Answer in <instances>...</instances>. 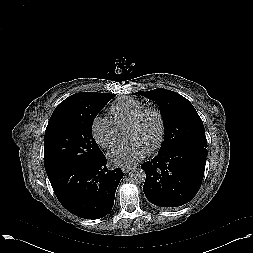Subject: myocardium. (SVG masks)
Here are the masks:
<instances>
[{"instance_id":"1","label":"myocardium","mask_w":253,"mask_h":253,"mask_svg":"<svg viewBox=\"0 0 253 253\" xmlns=\"http://www.w3.org/2000/svg\"><path fill=\"white\" fill-rule=\"evenodd\" d=\"M149 113L155 114L157 119H158V122H159L158 135H157L155 141L153 142V144H151L148 147L149 151H154L162 143L163 138H164V134H165V121H164V118H163V115H162L161 111L158 108H156V107H144L127 124V127H134V126L138 125L141 122V120L143 119V117L145 115L149 114Z\"/></svg>"}]
</instances>
